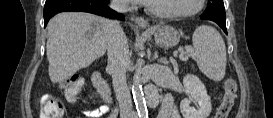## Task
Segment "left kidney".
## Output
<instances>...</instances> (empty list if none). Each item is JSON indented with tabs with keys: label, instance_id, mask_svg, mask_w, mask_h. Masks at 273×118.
Masks as SVG:
<instances>
[{
	"label": "left kidney",
	"instance_id": "5707ae66",
	"mask_svg": "<svg viewBox=\"0 0 273 118\" xmlns=\"http://www.w3.org/2000/svg\"><path fill=\"white\" fill-rule=\"evenodd\" d=\"M189 99H184L180 103V110L184 118H207L212 110L211 99L207 94L204 84L200 79L192 74H187L183 79ZM198 104V109L190 106V103Z\"/></svg>",
	"mask_w": 273,
	"mask_h": 118
}]
</instances>
